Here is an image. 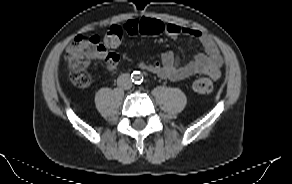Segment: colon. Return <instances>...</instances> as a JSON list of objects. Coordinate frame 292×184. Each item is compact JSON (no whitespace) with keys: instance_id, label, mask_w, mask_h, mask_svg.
Returning a JSON list of instances; mask_svg holds the SVG:
<instances>
[{"instance_id":"1","label":"colon","mask_w":292,"mask_h":184,"mask_svg":"<svg viewBox=\"0 0 292 184\" xmlns=\"http://www.w3.org/2000/svg\"><path fill=\"white\" fill-rule=\"evenodd\" d=\"M162 25L154 19H146L141 25V33L155 36L162 33ZM121 26L114 25L106 32L103 39L96 35H78L69 44L65 59L71 81L78 87H88L92 78L87 70L88 63L96 55L109 49L117 48L123 38ZM194 89L201 94H209L214 89L208 78H200L194 82Z\"/></svg>"}]
</instances>
